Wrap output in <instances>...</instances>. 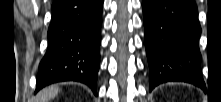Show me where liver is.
Masks as SVG:
<instances>
[{
	"mask_svg": "<svg viewBox=\"0 0 221 102\" xmlns=\"http://www.w3.org/2000/svg\"><path fill=\"white\" fill-rule=\"evenodd\" d=\"M59 92L58 86H51L48 88H44L40 91L36 97L37 102H48L49 100L53 99L57 96Z\"/></svg>",
	"mask_w": 221,
	"mask_h": 102,
	"instance_id": "obj_1",
	"label": "liver"
}]
</instances>
